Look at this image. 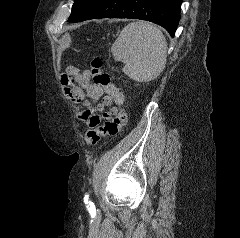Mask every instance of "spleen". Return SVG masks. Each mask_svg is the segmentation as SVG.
<instances>
[{"instance_id": "obj_1", "label": "spleen", "mask_w": 240, "mask_h": 238, "mask_svg": "<svg viewBox=\"0 0 240 238\" xmlns=\"http://www.w3.org/2000/svg\"><path fill=\"white\" fill-rule=\"evenodd\" d=\"M111 52L116 61H124L125 74L136 81L148 82L165 68L167 42L158 27L137 21L124 27Z\"/></svg>"}]
</instances>
